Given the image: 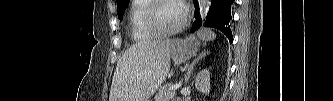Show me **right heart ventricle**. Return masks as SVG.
Masks as SVG:
<instances>
[{
	"mask_svg": "<svg viewBox=\"0 0 333 101\" xmlns=\"http://www.w3.org/2000/svg\"><path fill=\"white\" fill-rule=\"evenodd\" d=\"M151 0H135L129 13V30L134 41L145 42L153 40L156 35L145 25L144 16Z\"/></svg>",
	"mask_w": 333,
	"mask_h": 101,
	"instance_id": "1",
	"label": "right heart ventricle"
}]
</instances>
